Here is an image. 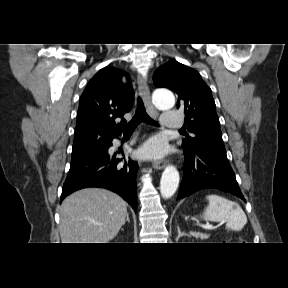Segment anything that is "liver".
I'll return each instance as SVG.
<instances>
[{
  "mask_svg": "<svg viewBox=\"0 0 288 288\" xmlns=\"http://www.w3.org/2000/svg\"><path fill=\"white\" fill-rule=\"evenodd\" d=\"M127 203L117 194L99 188L69 195L60 208L62 243H108L127 216Z\"/></svg>",
  "mask_w": 288,
  "mask_h": 288,
  "instance_id": "1",
  "label": "liver"
}]
</instances>
